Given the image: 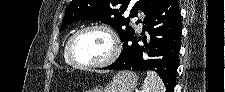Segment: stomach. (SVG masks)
<instances>
[{"label": "stomach", "mask_w": 225, "mask_h": 92, "mask_svg": "<svg viewBox=\"0 0 225 92\" xmlns=\"http://www.w3.org/2000/svg\"><path fill=\"white\" fill-rule=\"evenodd\" d=\"M138 77L133 71H120L104 88H97L91 92H133L137 86Z\"/></svg>", "instance_id": "stomach-1"}]
</instances>
